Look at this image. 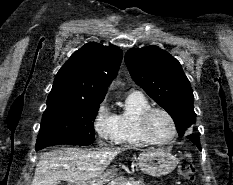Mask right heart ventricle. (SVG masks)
I'll list each match as a JSON object with an SVG mask.
<instances>
[{
  "label": "right heart ventricle",
  "mask_w": 233,
  "mask_h": 185,
  "mask_svg": "<svg viewBox=\"0 0 233 185\" xmlns=\"http://www.w3.org/2000/svg\"><path fill=\"white\" fill-rule=\"evenodd\" d=\"M149 107L151 105L142 93L132 92L127 96L124 109L115 115L116 144L130 147H145L150 144L140 129V117Z\"/></svg>",
  "instance_id": "right-heart-ventricle-1"
}]
</instances>
